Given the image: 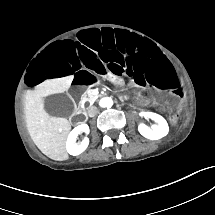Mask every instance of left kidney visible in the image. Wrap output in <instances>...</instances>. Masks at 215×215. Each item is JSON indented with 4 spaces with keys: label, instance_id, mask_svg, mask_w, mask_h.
Here are the masks:
<instances>
[{
    "label": "left kidney",
    "instance_id": "left-kidney-1",
    "mask_svg": "<svg viewBox=\"0 0 215 215\" xmlns=\"http://www.w3.org/2000/svg\"><path fill=\"white\" fill-rule=\"evenodd\" d=\"M139 117H149L155 121V125L149 128L146 124H139L138 130L141 135L151 140H158L166 136L169 132V125L167 120L154 112L140 111Z\"/></svg>",
    "mask_w": 215,
    "mask_h": 215
}]
</instances>
